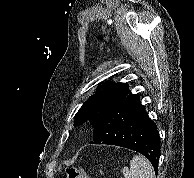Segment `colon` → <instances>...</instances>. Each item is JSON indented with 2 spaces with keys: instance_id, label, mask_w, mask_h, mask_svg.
Segmentation results:
<instances>
[{
  "instance_id": "5ec220e1",
  "label": "colon",
  "mask_w": 194,
  "mask_h": 178,
  "mask_svg": "<svg viewBox=\"0 0 194 178\" xmlns=\"http://www.w3.org/2000/svg\"><path fill=\"white\" fill-rule=\"evenodd\" d=\"M67 178H91L85 169L80 167H67L66 168Z\"/></svg>"
}]
</instances>
